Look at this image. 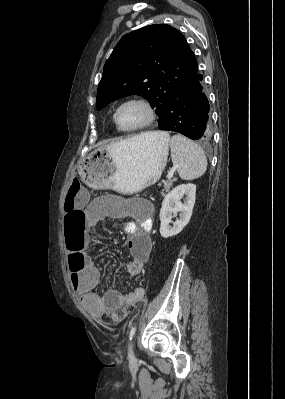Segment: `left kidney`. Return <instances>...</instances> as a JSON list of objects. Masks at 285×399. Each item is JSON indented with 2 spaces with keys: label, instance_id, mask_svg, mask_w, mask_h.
<instances>
[{
  "label": "left kidney",
  "instance_id": "left-kidney-1",
  "mask_svg": "<svg viewBox=\"0 0 285 399\" xmlns=\"http://www.w3.org/2000/svg\"><path fill=\"white\" fill-rule=\"evenodd\" d=\"M195 194L196 185L188 183L178 185L165 196L160 210V234L163 238L179 234L189 223L195 203ZM184 195H187V198L183 204L180 200ZM178 212H180V218L171 227L169 224Z\"/></svg>",
  "mask_w": 285,
  "mask_h": 399
}]
</instances>
